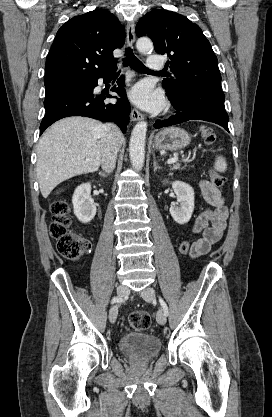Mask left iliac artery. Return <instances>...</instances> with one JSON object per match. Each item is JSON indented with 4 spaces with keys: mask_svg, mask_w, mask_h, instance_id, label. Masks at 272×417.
Here are the masks:
<instances>
[{
    "mask_svg": "<svg viewBox=\"0 0 272 417\" xmlns=\"http://www.w3.org/2000/svg\"><path fill=\"white\" fill-rule=\"evenodd\" d=\"M159 301H160V304H161V306L163 308L164 315L167 316L168 315V307H167V304L164 302V300L161 297H159Z\"/></svg>",
    "mask_w": 272,
    "mask_h": 417,
    "instance_id": "obj_1",
    "label": "left iliac artery"
}]
</instances>
